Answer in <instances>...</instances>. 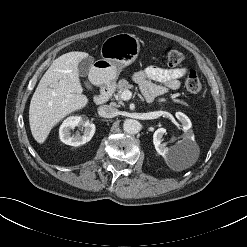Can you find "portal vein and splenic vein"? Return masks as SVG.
Segmentation results:
<instances>
[{
    "instance_id": "obj_1",
    "label": "portal vein and splenic vein",
    "mask_w": 247,
    "mask_h": 247,
    "mask_svg": "<svg viewBox=\"0 0 247 247\" xmlns=\"http://www.w3.org/2000/svg\"><path fill=\"white\" fill-rule=\"evenodd\" d=\"M120 97H121L122 100L127 101V100L131 99L132 92L130 90H124L121 93V96Z\"/></svg>"
}]
</instances>
